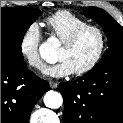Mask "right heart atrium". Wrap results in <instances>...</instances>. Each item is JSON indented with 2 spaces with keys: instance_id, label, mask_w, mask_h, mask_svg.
I'll use <instances>...</instances> for the list:
<instances>
[{
  "instance_id": "obj_1",
  "label": "right heart atrium",
  "mask_w": 123,
  "mask_h": 123,
  "mask_svg": "<svg viewBox=\"0 0 123 123\" xmlns=\"http://www.w3.org/2000/svg\"><path fill=\"white\" fill-rule=\"evenodd\" d=\"M41 32L37 23L29 24L23 31L19 50L29 66L36 70H43L45 63L40 55Z\"/></svg>"
}]
</instances>
